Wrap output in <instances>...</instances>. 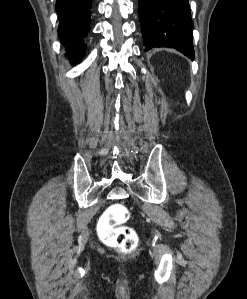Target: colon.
Instances as JSON below:
<instances>
[{"label":"colon","instance_id":"obj_1","mask_svg":"<svg viewBox=\"0 0 247 299\" xmlns=\"http://www.w3.org/2000/svg\"><path fill=\"white\" fill-rule=\"evenodd\" d=\"M129 218L128 209L121 204L111 205L103 214L99 229L104 242L123 252L133 251L138 244L134 229L125 225Z\"/></svg>","mask_w":247,"mask_h":299}]
</instances>
